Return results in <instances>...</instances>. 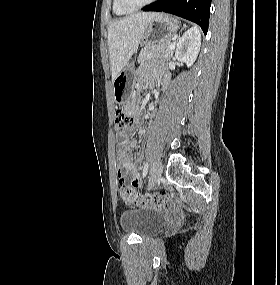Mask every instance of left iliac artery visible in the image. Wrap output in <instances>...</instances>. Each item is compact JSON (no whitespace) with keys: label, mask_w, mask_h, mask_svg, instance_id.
I'll return each mask as SVG.
<instances>
[{"label":"left iliac artery","mask_w":280,"mask_h":285,"mask_svg":"<svg viewBox=\"0 0 280 285\" xmlns=\"http://www.w3.org/2000/svg\"><path fill=\"white\" fill-rule=\"evenodd\" d=\"M148 169H149V164H148V162H146L144 165V168H143V177H145L147 175Z\"/></svg>","instance_id":"1"}]
</instances>
